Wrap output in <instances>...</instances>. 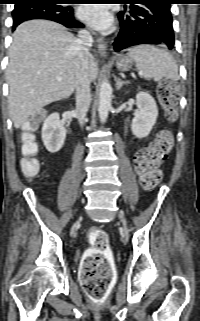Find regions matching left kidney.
<instances>
[{
	"instance_id": "1",
	"label": "left kidney",
	"mask_w": 200,
	"mask_h": 321,
	"mask_svg": "<svg viewBox=\"0 0 200 321\" xmlns=\"http://www.w3.org/2000/svg\"><path fill=\"white\" fill-rule=\"evenodd\" d=\"M137 113L131 123V131L137 138L147 137L156 123L158 108L154 98L147 92L136 95Z\"/></svg>"
}]
</instances>
